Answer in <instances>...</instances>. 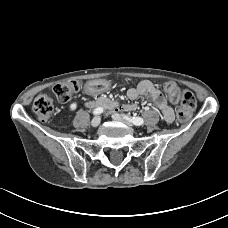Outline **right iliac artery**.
<instances>
[{"mask_svg":"<svg viewBox=\"0 0 228 228\" xmlns=\"http://www.w3.org/2000/svg\"><path fill=\"white\" fill-rule=\"evenodd\" d=\"M103 112V108L102 107H98L93 111L94 115H99Z\"/></svg>","mask_w":228,"mask_h":228,"instance_id":"1","label":"right iliac artery"}]
</instances>
